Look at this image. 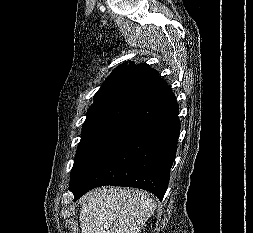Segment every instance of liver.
I'll use <instances>...</instances> for the list:
<instances>
[{"label": "liver", "instance_id": "liver-1", "mask_svg": "<svg viewBox=\"0 0 253 233\" xmlns=\"http://www.w3.org/2000/svg\"><path fill=\"white\" fill-rule=\"evenodd\" d=\"M146 192L125 188H99L81 204L82 233H139L156 209Z\"/></svg>", "mask_w": 253, "mask_h": 233}]
</instances>
